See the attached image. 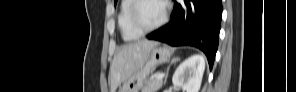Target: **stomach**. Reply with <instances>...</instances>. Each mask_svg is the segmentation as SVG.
<instances>
[{
	"mask_svg": "<svg viewBox=\"0 0 296 92\" xmlns=\"http://www.w3.org/2000/svg\"><path fill=\"white\" fill-rule=\"evenodd\" d=\"M172 52L167 47L155 46L152 48L146 63L135 71L122 85L119 92H140L148 80L149 75L156 67L169 62Z\"/></svg>",
	"mask_w": 296,
	"mask_h": 92,
	"instance_id": "stomach-1",
	"label": "stomach"
}]
</instances>
